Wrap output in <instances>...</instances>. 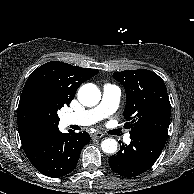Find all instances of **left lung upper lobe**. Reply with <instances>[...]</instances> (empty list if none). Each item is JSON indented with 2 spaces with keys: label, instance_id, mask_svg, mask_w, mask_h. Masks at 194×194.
I'll return each instance as SVG.
<instances>
[{
  "label": "left lung upper lobe",
  "instance_id": "obj_1",
  "mask_svg": "<svg viewBox=\"0 0 194 194\" xmlns=\"http://www.w3.org/2000/svg\"><path fill=\"white\" fill-rule=\"evenodd\" d=\"M126 91L125 126L153 133H168L171 106L164 81L149 70L114 72Z\"/></svg>",
  "mask_w": 194,
  "mask_h": 194
}]
</instances>
